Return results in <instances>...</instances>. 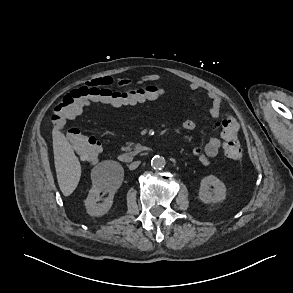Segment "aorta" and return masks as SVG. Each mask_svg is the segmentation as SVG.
<instances>
[{"label": "aorta", "mask_w": 293, "mask_h": 293, "mask_svg": "<svg viewBox=\"0 0 293 293\" xmlns=\"http://www.w3.org/2000/svg\"><path fill=\"white\" fill-rule=\"evenodd\" d=\"M165 159L162 156H154L151 160V167L154 170H162L165 167Z\"/></svg>", "instance_id": "1"}]
</instances>
